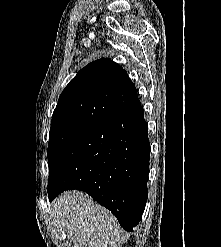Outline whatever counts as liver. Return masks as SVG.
Returning <instances> with one entry per match:
<instances>
[{"label":"liver","mask_w":221,"mask_h":247,"mask_svg":"<svg viewBox=\"0 0 221 247\" xmlns=\"http://www.w3.org/2000/svg\"><path fill=\"white\" fill-rule=\"evenodd\" d=\"M50 212L75 247H122L128 237L107 209L81 191L61 194Z\"/></svg>","instance_id":"liver-1"}]
</instances>
